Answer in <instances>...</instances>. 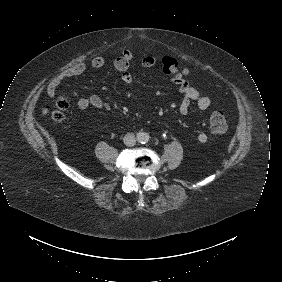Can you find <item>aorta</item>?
Returning a JSON list of instances; mask_svg holds the SVG:
<instances>
[{
	"mask_svg": "<svg viewBox=\"0 0 282 282\" xmlns=\"http://www.w3.org/2000/svg\"><path fill=\"white\" fill-rule=\"evenodd\" d=\"M150 140V135L147 132H139L137 134V141L141 144L148 143Z\"/></svg>",
	"mask_w": 282,
	"mask_h": 282,
	"instance_id": "1",
	"label": "aorta"
}]
</instances>
